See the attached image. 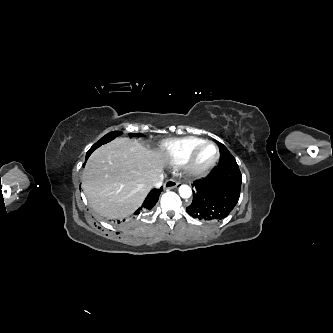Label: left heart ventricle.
Here are the masks:
<instances>
[{
    "mask_svg": "<svg viewBox=\"0 0 333 333\" xmlns=\"http://www.w3.org/2000/svg\"><path fill=\"white\" fill-rule=\"evenodd\" d=\"M216 155V150L212 146L205 147L198 156L199 164H206L210 162Z\"/></svg>",
    "mask_w": 333,
    "mask_h": 333,
    "instance_id": "b2bd125f",
    "label": "left heart ventricle"
}]
</instances>
